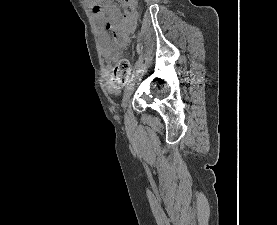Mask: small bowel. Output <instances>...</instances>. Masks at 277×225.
Returning <instances> with one entry per match:
<instances>
[{"instance_id": "c3829d8e", "label": "small bowel", "mask_w": 277, "mask_h": 225, "mask_svg": "<svg viewBox=\"0 0 277 225\" xmlns=\"http://www.w3.org/2000/svg\"><path fill=\"white\" fill-rule=\"evenodd\" d=\"M122 5L129 8V12L124 16L112 5H104L97 2L90 4L94 21L100 30L103 50L107 57L112 55L116 45H121L128 41L129 34L135 26L136 0H122ZM109 31L113 33L114 42H111ZM105 83L110 93H119L120 87L113 82L109 73L106 76Z\"/></svg>"}]
</instances>
